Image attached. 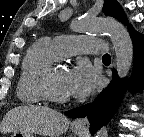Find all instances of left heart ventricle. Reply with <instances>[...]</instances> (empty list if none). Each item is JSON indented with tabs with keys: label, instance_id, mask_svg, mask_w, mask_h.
I'll return each instance as SVG.
<instances>
[{
	"label": "left heart ventricle",
	"instance_id": "left-heart-ventricle-1",
	"mask_svg": "<svg viewBox=\"0 0 144 137\" xmlns=\"http://www.w3.org/2000/svg\"><path fill=\"white\" fill-rule=\"evenodd\" d=\"M69 70L63 66H58L54 73L55 89L62 95L69 96L66 88Z\"/></svg>",
	"mask_w": 144,
	"mask_h": 137
}]
</instances>
